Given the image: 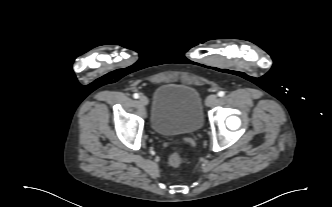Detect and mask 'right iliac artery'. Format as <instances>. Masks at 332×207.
I'll list each match as a JSON object with an SVG mask.
<instances>
[{
    "label": "right iliac artery",
    "mask_w": 332,
    "mask_h": 207,
    "mask_svg": "<svg viewBox=\"0 0 332 207\" xmlns=\"http://www.w3.org/2000/svg\"><path fill=\"white\" fill-rule=\"evenodd\" d=\"M133 97H134L135 99H138V98H139V94H138V93H135V94L133 95Z\"/></svg>",
    "instance_id": "82829eb1"
}]
</instances>
